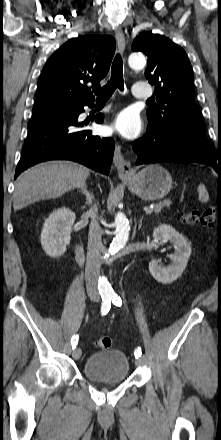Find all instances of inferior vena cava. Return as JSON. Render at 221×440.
Masks as SVG:
<instances>
[{"label":"inferior vena cava","instance_id":"602c4592","mask_svg":"<svg viewBox=\"0 0 221 440\" xmlns=\"http://www.w3.org/2000/svg\"><path fill=\"white\" fill-rule=\"evenodd\" d=\"M97 205H94L88 211V215L92 221L89 226L88 247H87V261L85 269V280L89 292L98 295V277L100 272V253L103 248L102 245V229L96 219Z\"/></svg>","mask_w":221,"mask_h":440}]
</instances>
